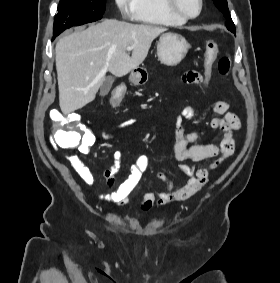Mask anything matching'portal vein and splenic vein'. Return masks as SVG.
Returning a JSON list of instances; mask_svg holds the SVG:
<instances>
[{"instance_id": "1", "label": "portal vein and splenic vein", "mask_w": 280, "mask_h": 283, "mask_svg": "<svg viewBox=\"0 0 280 283\" xmlns=\"http://www.w3.org/2000/svg\"><path fill=\"white\" fill-rule=\"evenodd\" d=\"M126 49H127V51H131L133 49V47L132 46H128Z\"/></svg>"}]
</instances>
